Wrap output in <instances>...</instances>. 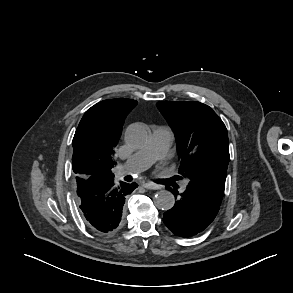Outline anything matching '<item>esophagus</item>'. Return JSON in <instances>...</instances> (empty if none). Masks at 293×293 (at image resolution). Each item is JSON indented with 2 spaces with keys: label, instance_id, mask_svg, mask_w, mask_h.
<instances>
[{
  "label": "esophagus",
  "instance_id": "34e87169",
  "mask_svg": "<svg viewBox=\"0 0 293 293\" xmlns=\"http://www.w3.org/2000/svg\"><path fill=\"white\" fill-rule=\"evenodd\" d=\"M142 186L146 189H151V190H156V189L160 188L159 185L152 183V182H146Z\"/></svg>",
  "mask_w": 293,
  "mask_h": 293
}]
</instances>
